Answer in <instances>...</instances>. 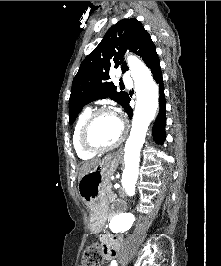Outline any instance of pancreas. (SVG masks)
<instances>
[{
	"mask_svg": "<svg viewBox=\"0 0 221 266\" xmlns=\"http://www.w3.org/2000/svg\"><path fill=\"white\" fill-rule=\"evenodd\" d=\"M106 196L109 199L110 202H113L116 199V194L112 192V184L109 183L106 186Z\"/></svg>",
	"mask_w": 221,
	"mask_h": 266,
	"instance_id": "cf45deb5",
	"label": "pancreas"
}]
</instances>
